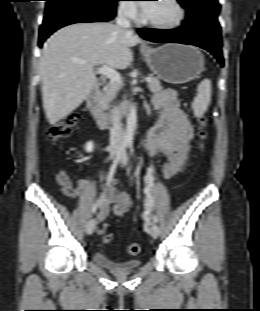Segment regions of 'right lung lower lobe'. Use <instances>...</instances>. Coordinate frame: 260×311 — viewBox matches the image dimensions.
<instances>
[{"label": "right lung lower lobe", "instance_id": "obj_1", "mask_svg": "<svg viewBox=\"0 0 260 311\" xmlns=\"http://www.w3.org/2000/svg\"><path fill=\"white\" fill-rule=\"evenodd\" d=\"M115 14V7H105L94 0H47L39 46L63 26L79 22H106L113 19Z\"/></svg>", "mask_w": 260, "mask_h": 311}]
</instances>
